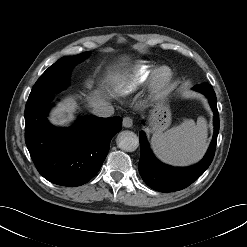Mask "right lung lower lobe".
<instances>
[{"label":"right lung lower lobe","mask_w":247,"mask_h":247,"mask_svg":"<svg viewBox=\"0 0 247 247\" xmlns=\"http://www.w3.org/2000/svg\"><path fill=\"white\" fill-rule=\"evenodd\" d=\"M54 93L28 98L25 142L39 173L48 181L68 187L88 182L101 168L112 137L122 129V118L87 116L68 129L46 119Z\"/></svg>","instance_id":"1"}]
</instances>
